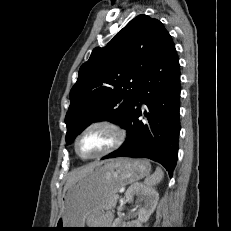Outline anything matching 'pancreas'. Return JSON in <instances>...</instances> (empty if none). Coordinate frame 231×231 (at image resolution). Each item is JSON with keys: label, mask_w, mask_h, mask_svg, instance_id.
Listing matches in <instances>:
<instances>
[{"label": "pancreas", "mask_w": 231, "mask_h": 231, "mask_svg": "<svg viewBox=\"0 0 231 231\" xmlns=\"http://www.w3.org/2000/svg\"><path fill=\"white\" fill-rule=\"evenodd\" d=\"M117 199H115V195L110 199L108 208H114L116 205Z\"/></svg>", "instance_id": "cf45deb5"}]
</instances>
